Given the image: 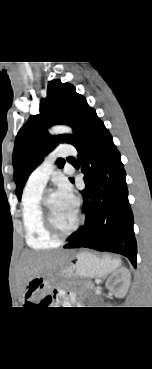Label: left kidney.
I'll return each mask as SVG.
<instances>
[{"label": "left kidney", "instance_id": "1", "mask_svg": "<svg viewBox=\"0 0 152 369\" xmlns=\"http://www.w3.org/2000/svg\"><path fill=\"white\" fill-rule=\"evenodd\" d=\"M131 283V273L127 268H120L106 281V287L117 297L122 298L127 294Z\"/></svg>", "mask_w": 152, "mask_h": 369}]
</instances>
